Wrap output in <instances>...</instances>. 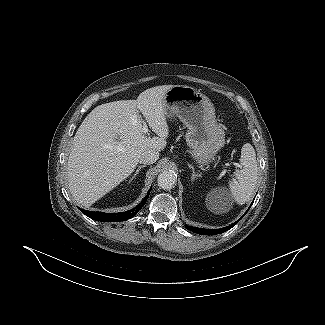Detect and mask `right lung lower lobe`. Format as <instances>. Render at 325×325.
Listing matches in <instances>:
<instances>
[{
  "mask_svg": "<svg viewBox=\"0 0 325 325\" xmlns=\"http://www.w3.org/2000/svg\"><path fill=\"white\" fill-rule=\"evenodd\" d=\"M149 193L145 196V198L141 201L137 207L134 209H131L126 212H121V213H102V212H91L87 210L81 209L83 214L88 216L89 218L96 220V221H101V222H118V221H125L127 219L132 218L133 216L136 215V213L141 209L142 206H144L146 199L148 198Z\"/></svg>",
  "mask_w": 325,
  "mask_h": 325,
  "instance_id": "right-lung-lower-lobe-1",
  "label": "right lung lower lobe"
}]
</instances>
